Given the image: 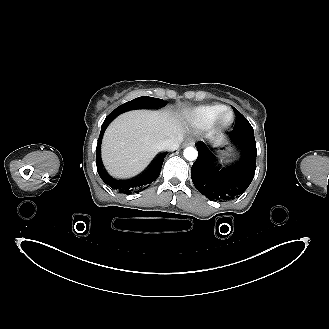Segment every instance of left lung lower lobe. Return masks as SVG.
Instances as JSON below:
<instances>
[{
  "label": "left lung lower lobe",
  "mask_w": 329,
  "mask_h": 329,
  "mask_svg": "<svg viewBox=\"0 0 329 329\" xmlns=\"http://www.w3.org/2000/svg\"><path fill=\"white\" fill-rule=\"evenodd\" d=\"M229 138L239 150V158L228 167L216 163L209 145L197 146L198 158L191 168V178L196 189L210 200H233L254 178L257 149L253 128L234 129Z\"/></svg>",
  "instance_id": "obj_1"
}]
</instances>
